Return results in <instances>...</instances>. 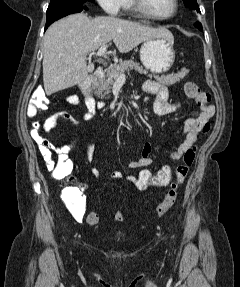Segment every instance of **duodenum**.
<instances>
[{"mask_svg":"<svg viewBox=\"0 0 240 287\" xmlns=\"http://www.w3.org/2000/svg\"><path fill=\"white\" fill-rule=\"evenodd\" d=\"M104 74L103 68L98 67L95 69L93 74H91L89 77H87L81 84L80 89L85 96L86 99H91L92 93H93V87L96 84V82L102 78Z\"/></svg>","mask_w":240,"mask_h":287,"instance_id":"duodenum-1","label":"duodenum"}]
</instances>
